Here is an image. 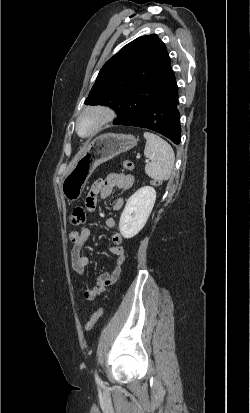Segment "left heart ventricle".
Masks as SVG:
<instances>
[{
	"instance_id": "left-heart-ventricle-1",
	"label": "left heart ventricle",
	"mask_w": 250,
	"mask_h": 413,
	"mask_svg": "<svg viewBox=\"0 0 250 413\" xmlns=\"http://www.w3.org/2000/svg\"><path fill=\"white\" fill-rule=\"evenodd\" d=\"M96 118L95 116L88 115L85 116L80 122V132L81 134H87L95 125Z\"/></svg>"
}]
</instances>
